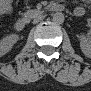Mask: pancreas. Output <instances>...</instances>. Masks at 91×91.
I'll list each match as a JSON object with an SVG mask.
<instances>
[{
  "label": "pancreas",
  "mask_w": 91,
  "mask_h": 91,
  "mask_svg": "<svg viewBox=\"0 0 91 91\" xmlns=\"http://www.w3.org/2000/svg\"><path fill=\"white\" fill-rule=\"evenodd\" d=\"M40 13L39 10H27L23 15L27 18H33Z\"/></svg>",
  "instance_id": "pancreas-1"
}]
</instances>
